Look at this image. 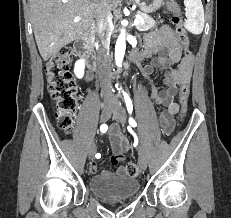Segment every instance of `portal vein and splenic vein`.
<instances>
[{"instance_id":"1","label":"portal vein and splenic vein","mask_w":231,"mask_h":218,"mask_svg":"<svg viewBox=\"0 0 231 218\" xmlns=\"http://www.w3.org/2000/svg\"><path fill=\"white\" fill-rule=\"evenodd\" d=\"M80 20L79 17H76L74 19L75 22H78ZM141 22H143V19L141 17H137L135 20H134V25L135 26H138Z\"/></svg>"}]
</instances>
